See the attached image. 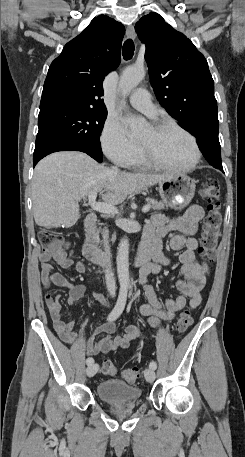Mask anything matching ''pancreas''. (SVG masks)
I'll use <instances>...</instances> for the list:
<instances>
[{
    "label": "pancreas",
    "instance_id": "cf45deb5",
    "mask_svg": "<svg viewBox=\"0 0 245 457\" xmlns=\"http://www.w3.org/2000/svg\"><path fill=\"white\" fill-rule=\"evenodd\" d=\"M146 200L149 202V204H151L154 210H160V208H166V206H170V204H164V202H161V200H155V198H146ZM99 233L100 229H96V226H92V229H90V235H92V239H94L96 243H100Z\"/></svg>",
    "mask_w": 245,
    "mask_h": 457
}]
</instances>
